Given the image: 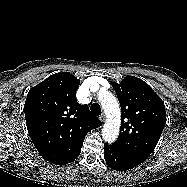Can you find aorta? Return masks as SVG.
Instances as JSON below:
<instances>
[{
    "label": "aorta",
    "mask_w": 187,
    "mask_h": 187,
    "mask_svg": "<svg viewBox=\"0 0 187 187\" xmlns=\"http://www.w3.org/2000/svg\"><path fill=\"white\" fill-rule=\"evenodd\" d=\"M99 101L107 117L102 129V137L106 142L111 143L117 139L120 130V106L115 96L108 91L99 94Z\"/></svg>",
    "instance_id": "aorta-1"
}]
</instances>
